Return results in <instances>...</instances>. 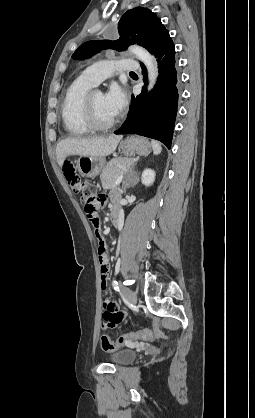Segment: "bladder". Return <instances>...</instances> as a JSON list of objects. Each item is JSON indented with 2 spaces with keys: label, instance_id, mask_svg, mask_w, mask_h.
I'll use <instances>...</instances> for the list:
<instances>
[{
  "label": "bladder",
  "instance_id": "31cf9c89",
  "mask_svg": "<svg viewBox=\"0 0 255 418\" xmlns=\"http://www.w3.org/2000/svg\"><path fill=\"white\" fill-rule=\"evenodd\" d=\"M137 353L131 349H120L111 353L109 359L115 365H125L133 362Z\"/></svg>",
  "mask_w": 255,
  "mask_h": 418
}]
</instances>
